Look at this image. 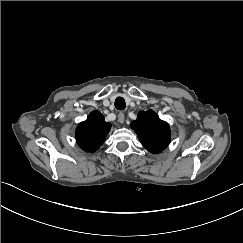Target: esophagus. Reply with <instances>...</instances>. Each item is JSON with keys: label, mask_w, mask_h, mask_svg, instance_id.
I'll return each instance as SVG.
<instances>
[{"label": "esophagus", "mask_w": 243, "mask_h": 243, "mask_svg": "<svg viewBox=\"0 0 243 243\" xmlns=\"http://www.w3.org/2000/svg\"><path fill=\"white\" fill-rule=\"evenodd\" d=\"M118 121L119 123L123 124L125 121V115L123 113L118 114Z\"/></svg>", "instance_id": "34e87169"}]
</instances>
